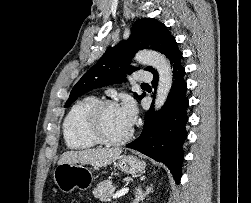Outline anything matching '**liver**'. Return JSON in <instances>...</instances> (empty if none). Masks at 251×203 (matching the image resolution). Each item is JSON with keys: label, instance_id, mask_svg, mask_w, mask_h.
I'll return each instance as SVG.
<instances>
[{"label": "liver", "instance_id": "1", "mask_svg": "<svg viewBox=\"0 0 251 203\" xmlns=\"http://www.w3.org/2000/svg\"><path fill=\"white\" fill-rule=\"evenodd\" d=\"M121 153L122 149L120 148L71 150L64 152L60 156L58 165L63 163H81L96 167H106L114 162Z\"/></svg>", "mask_w": 251, "mask_h": 203}]
</instances>
